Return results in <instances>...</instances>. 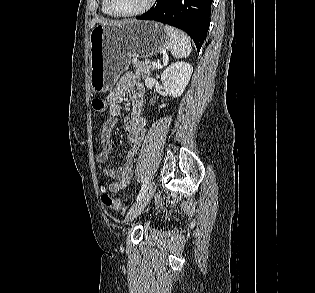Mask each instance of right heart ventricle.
<instances>
[{"label":"right heart ventricle","instance_id":"obj_1","mask_svg":"<svg viewBox=\"0 0 315 293\" xmlns=\"http://www.w3.org/2000/svg\"><path fill=\"white\" fill-rule=\"evenodd\" d=\"M101 10L103 14L109 17H116L108 8L107 0H101Z\"/></svg>","mask_w":315,"mask_h":293}]
</instances>
